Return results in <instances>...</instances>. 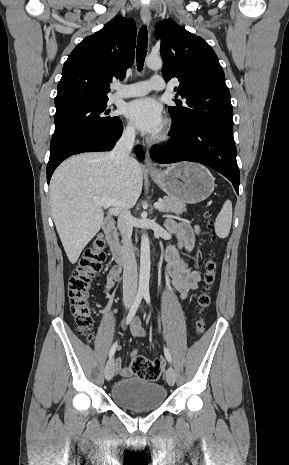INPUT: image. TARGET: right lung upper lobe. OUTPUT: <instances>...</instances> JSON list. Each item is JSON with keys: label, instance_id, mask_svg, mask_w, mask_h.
<instances>
[{"label": "right lung upper lobe", "instance_id": "obj_1", "mask_svg": "<svg viewBox=\"0 0 289 465\" xmlns=\"http://www.w3.org/2000/svg\"><path fill=\"white\" fill-rule=\"evenodd\" d=\"M135 24L117 16L70 53L58 83L55 105L108 99L113 78L122 80L134 61Z\"/></svg>", "mask_w": 289, "mask_h": 465}]
</instances>
